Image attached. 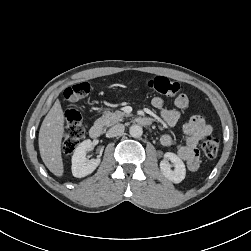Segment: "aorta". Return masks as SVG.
<instances>
[{
    "instance_id": "762f6f07",
    "label": "aorta",
    "mask_w": 251,
    "mask_h": 251,
    "mask_svg": "<svg viewBox=\"0 0 251 251\" xmlns=\"http://www.w3.org/2000/svg\"><path fill=\"white\" fill-rule=\"evenodd\" d=\"M129 133L133 138H139L143 134V129L140 125H132L129 129Z\"/></svg>"
}]
</instances>
